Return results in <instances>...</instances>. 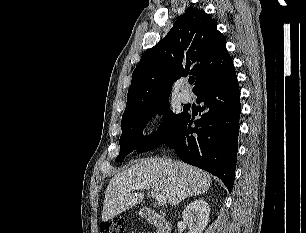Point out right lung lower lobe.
Segmentation results:
<instances>
[{
  "mask_svg": "<svg viewBox=\"0 0 306 233\" xmlns=\"http://www.w3.org/2000/svg\"><path fill=\"white\" fill-rule=\"evenodd\" d=\"M197 102L204 106L194 122L186 114L178 129L163 143L186 163L218 176L231 192L234 182L241 113L235 69L205 88Z\"/></svg>",
  "mask_w": 306,
  "mask_h": 233,
  "instance_id": "right-lung-lower-lobe-1",
  "label": "right lung lower lobe"
}]
</instances>
